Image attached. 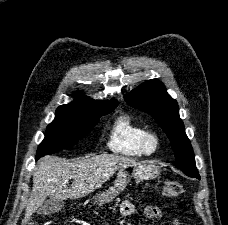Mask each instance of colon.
Instances as JSON below:
<instances>
[{
    "label": "colon",
    "mask_w": 228,
    "mask_h": 225,
    "mask_svg": "<svg viewBox=\"0 0 228 225\" xmlns=\"http://www.w3.org/2000/svg\"><path fill=\"white\" fill-rule=\"evenodd\" d=\"M184 185L176 179H169L165 182L163 193L167 198H178L184 193Z\"/></svg>",
    "instance_id": "5ec220e1"
}]
</instances>
